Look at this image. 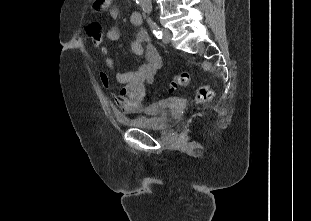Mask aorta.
Returning a JSON list of instances; mask_svg holds the SVG:
<instances>
[{
    "instance_id": "1",
    "label": "aorta",
    "mask_w": 311,
    "mask_h": 221,
    "mask_svg": "<svg viewBox=\"0 0 311 221\" xmlns=\"http://www.w3.org/2000/svg\"><path fill=\"white\" fill-rule=\"evenodd\" d=\"M139 2L142 10H144V12H148L149 14L152 10L151 0H139Z\"/></svg>"
}]
</instances>
